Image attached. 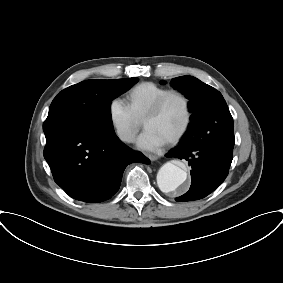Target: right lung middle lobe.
<instances>
[{
	"instance_id": "dd1d6c3e",
	"label": "right lung middle lobe",
	"mask_w": 283,
	"mask_h": 283,
	"mask_svg": "<svg viewBox=\"0 0 283 283\" xmlns=\"http://www.w3.org/2000/svg\"><path fill=\"white\" fill-rule=\"evenodd\" d=\"M138 78L86 80L62 90L52 101L43 124L46 139L61 131H114L111 101L129 90Z\"/></svg>"
}]
</instances>
